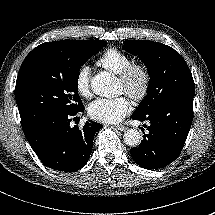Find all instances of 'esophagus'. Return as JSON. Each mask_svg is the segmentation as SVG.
Returning <instances> with one entry per match:
<instances>
[{
  "mask_svg": "<svg viewBox=\"0 0 215 215\" xmlns=\"http://www.w3.org/2000/svg\"><path fill=\"white\" fill-rule=\"evenodd\" d=\"M116 129L119 130V131H124V130L127 129V127L124 126V125H119V126H116Z\"/></svg>",
  "mask_w": 215,
  "mask_h": 215,
  "instance_id": "1",
  "label": "esophagus"
}]
</instances>
